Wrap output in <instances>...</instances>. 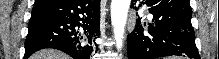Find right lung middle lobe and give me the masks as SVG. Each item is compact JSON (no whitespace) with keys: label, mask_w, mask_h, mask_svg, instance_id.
Instances as JSON below:
<instances>
[{"label":"right lung middle lobe","mask_w":219,"mask_h":59,"mask_svg":"<svg viewBox=\"0 0 219 59\" xmlns=\"http://www.w3.org/2000/svg\"><path fill=\"white\" fill-rule=\"evenodd\" d=\"M43 17L41 15L31 16L30 22H35L41 20Z\"/></svg>","instance_id":"obj_1"}]
</instances>
